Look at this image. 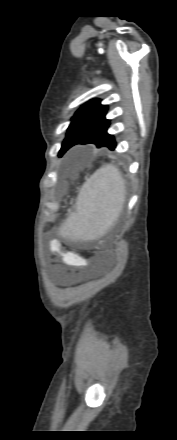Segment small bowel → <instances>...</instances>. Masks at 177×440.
Wrapping results in <instances>:
<instances>
[{"mask_svg": "<svg viewBox=\"0 0 177 440\" xmlns=\"http://www.w3.org/2000/svg\"><path fill=\"white\" fill-rule=\"evenodd\" d=\"M66 258H67V259H70V258H71V256L67 255V256H66Z\"/></svg>", "mask_w": 177, "mask_h": 440, "instance_id": "c3829d8e", "label": "small bowel"}]
</instances>
